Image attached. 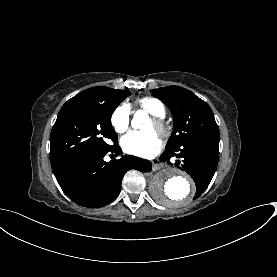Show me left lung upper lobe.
I'll return each mask as SVG.
<instances>
[{"instance_id": "1", "label": "left lung upper lobe", "mask_w": 277, "mask_h": 277, "mask_svg": "<svg viewBox=\"0 0 277 277\" xmlns=\"http://www.w3.org/2000/svg\"><path fill=\"white\" fill-rule=\"evenodd\" d=\"M152 93L170 108L174 117L173 133L166 150L179 148L186 141L197 137L219 135L211 108L191 91L178 86H167L153 89Z\"/></svg>"}]
</instances>
